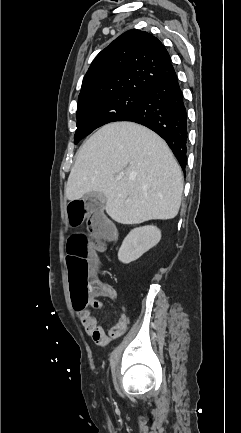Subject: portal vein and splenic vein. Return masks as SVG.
Returning a JSON list of instances; mask_svg holds the SVG:
<instances>
[{"instance_id":"portal-vein-and-splenic-vein-1","label":"portal vein and splenic vein","mask_w":241,"mask_h":433,"mask_svg":"<svg viewBox=\"0 0 241 433\" xmlns=\"http://www.w3.org/2000/svg\"><path fill=\"white\" fill-rule=\"evenodd\" d=\"M116 178H117L118 180H120V179H121V176H117Z\"/></svg>"}]
</instances>
